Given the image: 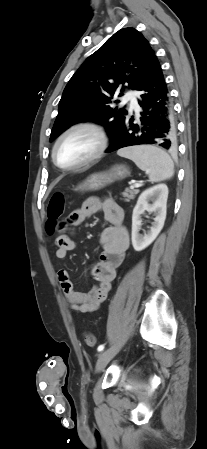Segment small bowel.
I'll list each match as a JSON object with an SVG mask.
<instances>
[{
  "label": "small bowel",
  "mask_w": 207,
  "mask_h": 449,
  "mask_svg": "<svg viewBox=\"0 0 207 449\" xmlns=\"http://www.w3.org/2000/svg\"><path fill=\"white\" fill-rule=\"evenodd\" d=\"M102 213L109 226L100 236L102 252L98 262L91 266V274L98 284L88 293L74 289L70 274L60 269L57 278L61 290L70 306L76 313H89L97 310L108 296L129 247V235L124 226L125 214L120 205L111 199L101 201L89 198L77 210L70 213L60 227L55 239L57 259H64L67 253L75 248L74 230L87 217Z\"/></svg>",
  "instance_id": "small-bowel-1"
}]
</instances>
